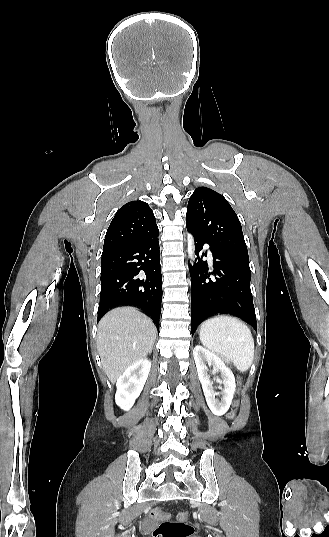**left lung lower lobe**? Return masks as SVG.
<instances>
[{
	"instance_id": "obj_1",
	"label": "left lung lower lobe",
	"mask_w": 329,
	"mask_h": 537,
	"mask_svg": "<svg viewBox=\"0 0 329 537\" xmlns=\"http://www.w3.org/2000/svg\"><path fill=\"white\" fill-rule=\"evenodd\" d=\"M187 230L191 232L189 227ZM193 237L197 259L194 265L189 267L192 335L201 322L216 314L234 315L256 330L249 261L210 245L214 269L210 273L207 261L202 260L203 255L207 254L201 252L203 245L208 243L194 234Z\"/></svg>"
}]
</instances>
